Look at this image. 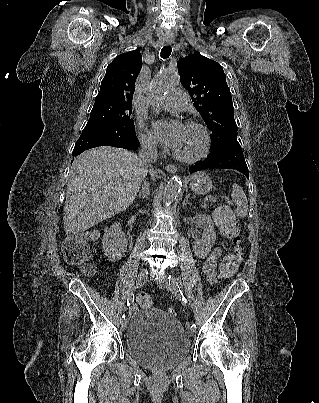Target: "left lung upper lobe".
Masks as SVG:
<instances>
[{
    "label": "left lung upper lobe",
    "mask_w": 319,
    "mask_h": 403,
    "mask_svg": "<svg viewBox=\"0 0 319 403\" xmlns=\"http://www.w3.org/2000/svg\"><path fill=\"white\" fill-rule=\"evenodd\" d=\"M181 83L211 130V152L238 142L232 96L219 63L199 53L178 61Z\"/></svg>",
    "instance_id": "1"
}]
</instances>
